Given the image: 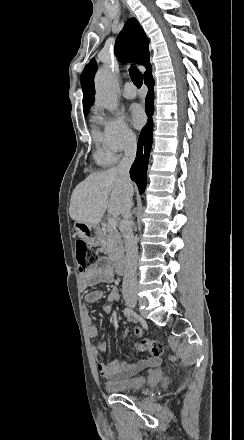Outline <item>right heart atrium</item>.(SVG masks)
<instances>
[{"instance_id": "d8ad5b80", "label": "right heart atrium", "mask_w": 244, "mask_h": 440, "mask_svg": "<svg viewBox=\"0 0 244 440\" xmlns=\"http://www.w3.org/2000/svg\"><path fill=\"white\" fill-rule=\"evenodd\" d=\"M94 111L97 121L103 126L105 146L110 152L120 153L135 144L136 134L122 116L106 115L99 104Z\"/></svg>"}]
</instances>
